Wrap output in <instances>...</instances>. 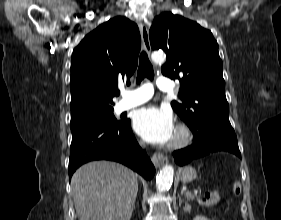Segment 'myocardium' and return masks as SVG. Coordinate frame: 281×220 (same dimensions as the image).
<instances>
[{
    "mask_svg": "<svg viewBox=\"0 0 281 220\" xmlns=\"http://www.w3.org/2000/svg\"><path fill=\"white\" fill-rule=\"evenodd\" d=\"M177 139L168 144L170 149H181L189 145L192 141V131L190 127L185 123H178L176 125Z\"/></svg>",
    "mask_w": 281,
    "mask_h": 220,
    "instance_id": "obj_1",
    "label": "myocardium"
}]
</instances>
